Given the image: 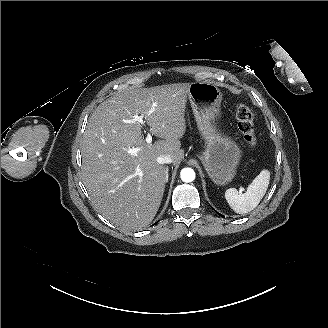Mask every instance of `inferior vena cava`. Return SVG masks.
Masks as SVG:
<instances>
[{
	"mask_svg": "<svg viewBox=\"0 0 328 328\" xmlns=\"http://www.w3.org/2000/svg\"><path fill=\"white\" fill-rule=\"evenodd\" d=\"M159 164H170L172 163V158L170 155H161L157 158Z\"/></svg>",
	"mask_w": 328,
	"mask_h": 328,
	"instance_id": "obj_1",
	"label": "inferior vena cava"
}]
</instances>
